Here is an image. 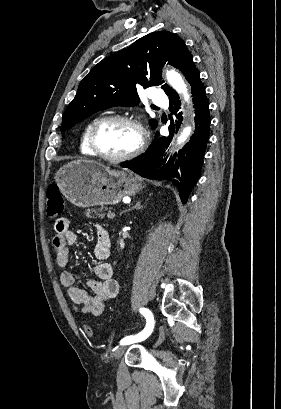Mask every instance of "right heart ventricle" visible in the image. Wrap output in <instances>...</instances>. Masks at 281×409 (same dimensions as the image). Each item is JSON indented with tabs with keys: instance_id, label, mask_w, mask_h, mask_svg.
Instances as JSON below:
<instances>
[{
	"instance_id": "obj_1",
	"label": "right heart ventricle",
	"mask_w": 281,
	"mask_h": 409,
	"mask_svg": "<svg viewBox=\"0 0 281 409\" xmlns=\"http://www.w3.org/2000/svg\"><path fill=\"white\" fill-rule=\"evenodd\" d=\"M100 118H95L92 119L91 121L88 122V124L85 126L81 141H80V151L83 155L86 156H96L93 152L92 146H91V134L92 130L97 123V121Z\"/></svg>"
}]
</instances>
